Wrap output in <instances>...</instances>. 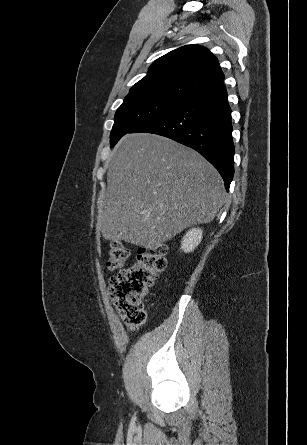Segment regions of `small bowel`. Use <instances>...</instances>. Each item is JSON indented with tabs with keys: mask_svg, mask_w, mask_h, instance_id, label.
<instances>
[{
	"mask_svg": "<svg viewBox=\"0 0 307 445\" xmlns=\"http://www.w3.org/2000/svg\"><path fill=\"white\" fill-rule=\"evenodd\" d=\"M128 328L133 330L134 329V325H128Z\"/></svg>",
	"mask_w": 307,
	"mask_h": 445,
	"instance_id": "c3829d8e",
	"label": "small bowel"
}]
</instances>
